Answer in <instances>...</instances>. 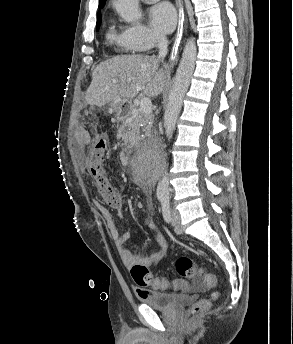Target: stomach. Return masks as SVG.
Listing matches in <instances>:
<instances>
[{
  "label": "stomach",
  "mask_w": 293,
  "mask_h": 344,
  "mask_svg": "<svg viewBox=\"0 0 293 344\" xmlns=\"http://www.w3.org/2000/svg\"><path fill=\"white\" fill-rule=\"evenodd\" d=\"M125 105L124 100H119V101H113L110 103L109 107L112 112H115L117 114L121 113L123 106Z\"/></svg>",
  "instance_id": "1"
}]
</instances>
